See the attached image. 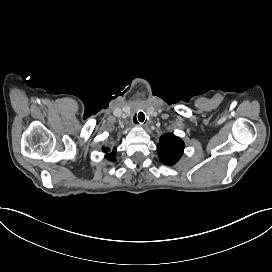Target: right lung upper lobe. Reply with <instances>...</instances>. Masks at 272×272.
Returning <instances> with one entry per match:
<instances>
[{
  "instance_id": "cb5924a9",
  "label": "right lung upper lobe",
  "mask_w": 272,
  "mask_h": 272,
  "mask_svg": "<svg viewBox=\"0 0 272 272\" xmlns=\"http://www.w3.org/2000/svg\"><path fill=\"white\" fill-rule=\"evenodd\" d=\"M103 151L106 152V153L109 152V153L106 154V158L108 160H110V161H115L116 160L115 159V153H116V149L115 148L112 151H110V149L108 147H105L103 149Z\"/></svg>"
}]
</instances>
